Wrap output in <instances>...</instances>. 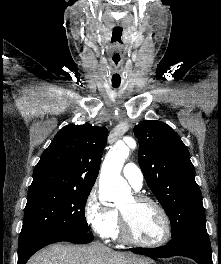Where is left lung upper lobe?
Segmentation results:
<instances>
[{"label": "left lung upper lobe", "mask_w": 221, "mask_h": 264, "mask_svg": "<svg viewBox=\"0 0 221 264\" xmlns=\"http://www.w3.org/2000/svg\"><path fill=\"white\" fill-rule=\"evenodd\" d=\"M144 178L171 222L172 238L206 232L202 194L187 147L166 123L148 120L134 127Z\"/></svg>", "instance_id": "obj_1"}]
</instances>
